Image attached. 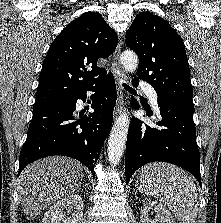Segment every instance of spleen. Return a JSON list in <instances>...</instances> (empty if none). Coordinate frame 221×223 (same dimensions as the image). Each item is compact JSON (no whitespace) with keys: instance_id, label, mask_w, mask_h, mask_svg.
Listing matches in <instances>:
<instances>
[{"instance_id":"3e777b00","label":"spleen","mask_w":221,"mask_h":223,"mask_svg":"<svg viewBox=\"0 0 221 223\" xmlns=\"http://www.w3.org/2000/svg\"><path fill=\"white\" fill-rule=\"evenodd\" d=\"M136 188L163 202L180 223H195L198 211L196 185L181 168L167 163L148 164L139 172Z\"/></svg>"}]
</instances>
